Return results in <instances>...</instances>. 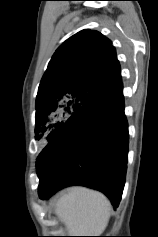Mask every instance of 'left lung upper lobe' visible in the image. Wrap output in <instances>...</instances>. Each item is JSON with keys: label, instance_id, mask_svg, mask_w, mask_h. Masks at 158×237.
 <instances>
[{"label": "left lung upper lobe", "instance_id": "obj_1", "mask_svg": "<svg viewBox=\"0 0 158 237\" xmlns=\"http://www.w3.org/2000/svg\"><path fill=\"white\" fill-rule=\"evenodd\" d=\"M120 82L112 42L90 29L73 35L56 50L40 82L35 138L50 141L68 117ZM37 174L41 179L42 174Z\"/></svg>", "mask_w": 158, "mask_h": 237}]
</instances>
